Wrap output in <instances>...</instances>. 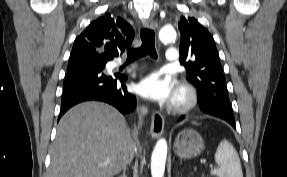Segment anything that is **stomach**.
<instances>
[{
  "label": "stomach",
  "mask_w": 287,
  "mask_h": 177,
  "mask_svg": "<svg viewBox=\"0 0 287 177\" xmlns=\"http://www.w3.org/2000/svg\"><path fill=\"white\" fill-rule=\"evenodd\" d=\"M203 149V138L197 131L191 128L180 131L174 142V152L181 159L194 158Z\"/></svg>",
  "instance_id": "stomach-1"
}]
</instances>
